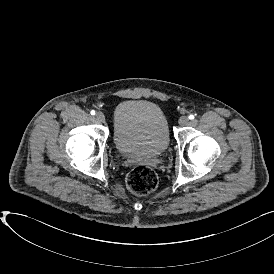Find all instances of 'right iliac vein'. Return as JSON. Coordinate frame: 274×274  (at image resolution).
Here are the masks:
<instances>
[{"label": "right iliac vein", "instance_id": "63e3f726", "mask_svg": "<svg viewBox=\"0 0 274 274\" xmlns=\"http://www.w3.org/2000/svg\"><path fill=\"white\" fill-rule=\"evenodd\" d=\"M96 119L98 122H104L105 121V115L102 112H97Z\"/></svg>", "mask_w": 274, "mask_h": 274}]
</instances>
